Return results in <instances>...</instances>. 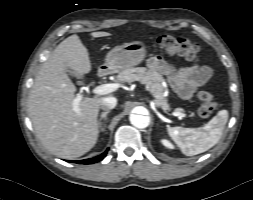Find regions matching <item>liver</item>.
Segmentation results:
<instances>
[{"label":"liver","mask_w":253,"mask_h":200,"mask_svg":"<svg viewBox=\"0 0 253 200\" xmlns=\"http://www.w3.org/2000/svg\"><path fill=\"white\" fill-rule=\"evenodd\" d=\"M107 32H92L94 38ZM79 75L91 71L87 49L74 34L63 40L42 64L28 96V115L36 136L52 154L73 159L90 151L99 136L98 113L103 97H82L79 111L73 107L79 95L68 69Z\"/></svg>","instance_id":"obj_1"}]
</instances>
